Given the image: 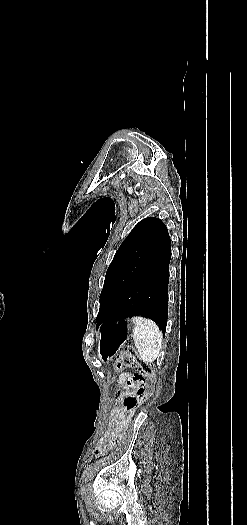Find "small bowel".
<instances>
[{"label": "small bowel", "instance_id": "c3829d8e", "mask_svg": "<svg viewBox=\"0 0 247 525\" xmlns=\"http://www.w3.org/2000/svg\"><path fill=\"white\" fill-rule=\"evenodd\" d=\"M133 375L134 373H131V372L123 373L119 379L118 383L121 389L118 392V397L114 405L112 418L109 422L107 431L104 433V435L102 436V438L99 440V442L96 444V447H95V453L98 456L105 454V452L107 451L105 448V442L110 438L116 437L120 433L126 419L129 416V413L125 411L122 405V398L123 396L129 393L130 387L127 385V381Z\"/></svg>", "mask_w": 247, "mask_h": 525}]
</instances>
